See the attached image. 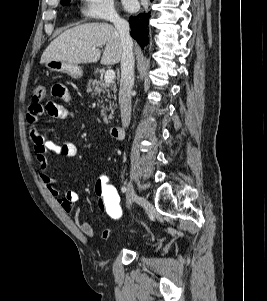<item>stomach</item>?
Here are the masks:
<instances>
[{"instance_id":"stomach-1","label":"stomach","mask_w":267,"mask_h":301,"mask_svg":"<svg viewBox=\"0 0 267 301\" xmlns=\"http://www.w3.org/2000/svg\"><path fill=\"white\" fill-rule=\"evenodd\" d=\"M50 71L66 73L74 79H80L83 76L82 68L78 64H72L66 61L51 60L45 63Z\"/></svg>"}]
</instances>
